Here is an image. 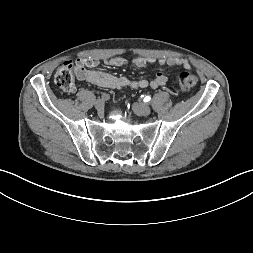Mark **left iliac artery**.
I'll return each instance as SVG.
<instances>
[{"mask_svg": "<svg viewBox=\"0 0 253 253\" xmlns=\"http://www.w3.org/2000/svg\"><path fill=\"white\" fill-rule=\"evenodd\" d=\"M150 99H151L150 96H146V97L144 98V101H145V102H148V101H150Z\"/></svg>", "mask_w": 253, "mask_h": 253, "instance_id": "obj_1", "label": "left iliac artery"}]
</instances>
